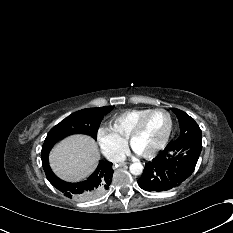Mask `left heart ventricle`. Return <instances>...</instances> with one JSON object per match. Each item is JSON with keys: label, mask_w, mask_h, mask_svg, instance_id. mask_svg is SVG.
<instances>
[{"label": "left heart ventricle", "mask_w": 233, "mask_h": 233, "mask_svg": "<svg viewBox=\"0 0 233 233\" xmlns=\"http://www.w3.org/2000/svg\"><path fill=\"white\" fill-rule=\"evenodd\" d=\"M169 125L166 113L156 112L148 117L142 131L133 141L138 153H145L157 146L165 136Z\"/></svg>", "instance_id": "b2bd125f"}]
</instances>
